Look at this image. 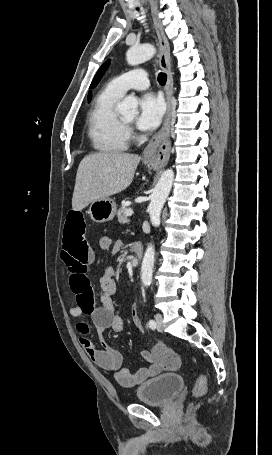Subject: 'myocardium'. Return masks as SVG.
I'll list each match as a JSON object with an SVG mask.
<instances>
[{
    "mask_svg": "<svg viewBox=\"0 0 272 455\" xmlns=\"http://www.w3.org/2000/svg\"><path fill=\"white\" fill-rule=\"evenodd\" d=\"M122 125L129 131L131 124L126 122L123 118L120 117Z\"/></svg>",
    "mask_w": 272,
    "mask_h": 455,
    "instance_id": "myocardium-1",
    "label": "myocardium"
}]
</instances>
